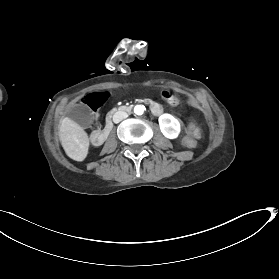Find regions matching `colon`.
Here are the masks:
<instances>
[{
  "label": "colon",
  "mask_w": 279,
  "mask_h": 279,
  "mask_svg": "<svg viewBox=\"0 0 279 279\" xmlns=\"http://www.w3.org/2000/svg\"><path fill=\"white\" fill-rule=\"evenodd\" d=\"M187 130L189 135L193 138H199L201 135L200 128L194 122L189 123Z\"/></svg>",
  "instance_id": "1"
}]
</instances>
